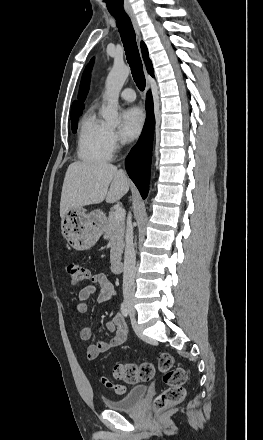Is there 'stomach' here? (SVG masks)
Returning a JSON list of instances; mask_svg holds the SVG:
<instances>
[{"instance_id": "stomach-1", "label": "stomach", "mask_w": 263, "mask_h": 440, "mask_svg": "<svg viewBox=\"0 0 263 440\" xmlns=\"http://www.w3.org/2000/svg\"><path fill=\"white\" fill-rule=\"evenodd\" d=\"M61 229L70 245L83 251L96 244L105 229V221L98 211L87 213L83 207L72 208L62 217Z\"/></svg>"}]
</instances>
